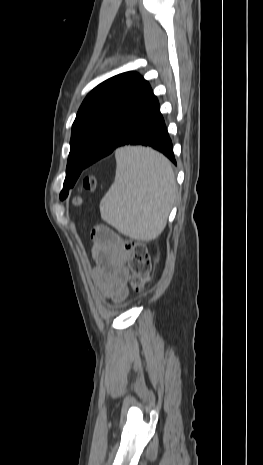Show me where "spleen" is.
Listing matches in <instances>:
<instances>
[{"label":"spleen","instance_id":"obj_1","mask_svg":"<svg viewBox=\"0 0 263 465\" xmlns=\"http://www.w3.org/2000/svg\"><path fill=\"white\" fill-rule=\"evenodd\" d=\"M115 180L100 202L102 219L122 234L150 241L166 226L176 191L170 162L144 147L116 151Z\"/></svg>","mask_w":263,"mask_h":465}]
</instances>
